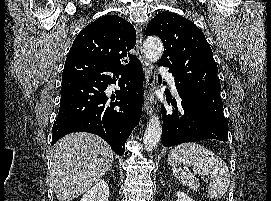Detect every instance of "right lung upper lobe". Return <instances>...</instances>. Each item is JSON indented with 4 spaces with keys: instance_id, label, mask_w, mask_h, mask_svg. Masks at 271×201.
<instances>
[{
    "instance_id": "1",
    "label": "right lung upper lobe",
    "mask_w": 271,
    "mask_h": 201,
    "mask_svg": "<svg viewBox=\"0 0 271 201\" xmlns=\"http://www.w3.org/2000/svg\"><path fill=\"white\" fill-rule=\"evenodd\" d=\"M136 43L134 26L119 16H102L75 38L67 57L85 56L109 64H132L138 59L128 54Z\"/></svg>"
}]
</instances>
